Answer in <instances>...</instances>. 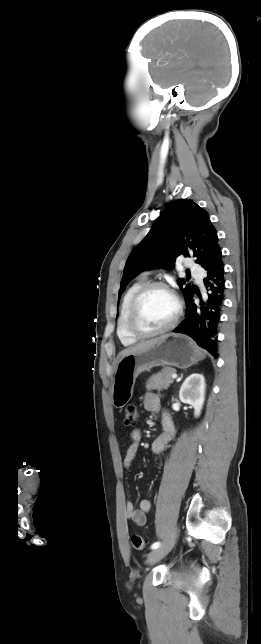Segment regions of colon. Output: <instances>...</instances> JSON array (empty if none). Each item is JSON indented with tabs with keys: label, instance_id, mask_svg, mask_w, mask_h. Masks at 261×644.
Listing matches in <instances>:
<instances>
[{
	"label": "colon",
	"instance_id": "5ec220e1",
	"mask_svg": "<svg viewBox=\"0 0 261 644\" xmlns=\"http://www.w3.org/2000/svg\"><path fill=\"white\" fill-rule=\"evenodd\" d=\"M139 418V412L135 405L131 404L127 406L124 414V424L127 427H133L136 425ZM132 545L137 550H143L146 547V540L140 535L132 536Z\"/></svg>",
	"mask_w": 261,
	"mask_h": 644
}]
</instances>
